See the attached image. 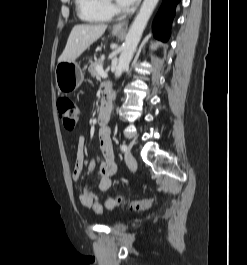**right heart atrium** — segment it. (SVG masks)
Instances as JSON below:
<instances>
[{
    "mask_svg": "<svg viewBox=\"0 0 247 265\" xmlns=\"http://www.w3.org/2000/svg\"><path fill=\"white\" fill-rule=\"evenodd\" d=\"M108 7H109L110 11H112V6L111 5H108Z\"/></svg>",
    "mask_w": 247,
    "mask_h": 265,
    "instance_id": "1",
    "label": "right heart atrium"
}]
</instances>
